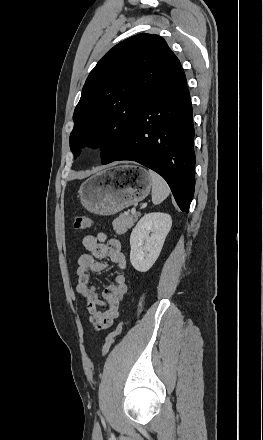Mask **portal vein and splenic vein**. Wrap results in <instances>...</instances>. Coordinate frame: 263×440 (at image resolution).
<instances>
[{
	"label": "portal vein and splenic vein",
	"mask_w": 263,
	"mask_h": 440,
	"mask_svg": "<svg viewBox=\"0 0 263 440\" xmlns=\"http://www.w3.org/2000/svg\"><path fill=\"white\" fill-rule=\"evenodd\" d=\"M131 213H132V214H135V213H136V208H135V207L132 208Z\"/></svg>",
	"instance_id": "portal-vein-and-splenic-vein-1"
}]
</instances>
